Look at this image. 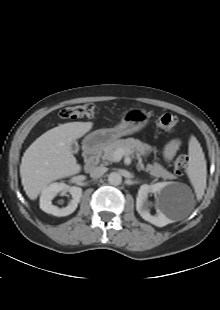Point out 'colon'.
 I'll use <instances>...</instances> for the list:
<instances>
[{
	"instance_id": "1",
	"label": "colon",
	"mask_w": 220,
	"mask_h": 310,
	"mask_svg": "<svg viewBox=\"0 0 220 310\" xmlns=\"http://www.w3.org/2000/svg\"><path fill=\"white\" fill-rule=\"evenodd\" d=\"M96 114V106L91 103H83L74 106H68L60 111V116L65 119L91 118ZM178 117L172 113H163L156 120L157 126L168 132L175 131L178 126ZM188 157L184 154L179 155L174 163L175 173L182 175L187 168Z\"/></svg>"
}]
</instances>
